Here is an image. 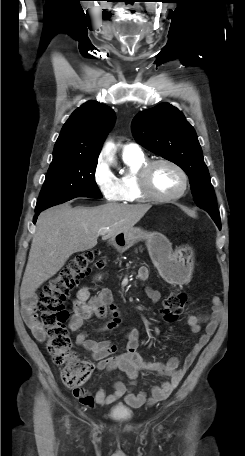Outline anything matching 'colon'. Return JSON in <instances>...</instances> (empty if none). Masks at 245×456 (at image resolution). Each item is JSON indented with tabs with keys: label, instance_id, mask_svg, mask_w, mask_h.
Here are the masks:
<instances>
[{
	"label": "colon",
	"instance_id": "obj_1",
	"mask_svg": "<svg viewBox=\"0 0 245 456\" xmlns=\"http://www.w3.org/2000/svg\"><path fill=\"white\" fill-rule=\"evenodd\" d=\"M97 252L86 251L73 257L59 273L51 278L43 287L40 295L39 310L43 326L46 330V346L53 362L62 367L61 378L70 388L83 385L93 371V364L78 357L65 322L68 311L65 301L70 292L86 277L95 263L102 265L97 259ZM187 301L186 294L177 288L170 290L162 309L166 321L172 322L182 313Z\"/></svg>",
	"mask_w": 245,
	"mask_h": 456
}]
</instances>
